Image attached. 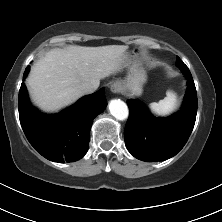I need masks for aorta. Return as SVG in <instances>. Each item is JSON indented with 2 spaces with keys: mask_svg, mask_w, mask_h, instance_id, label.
<instances>
[{
  "mask_svg": "<svg viewBox=\"0 0 222 222\" xmlns=\"http://www.w3.org/2000/svg\"><path fill=\"white\" fill-rule=\"evenodd\" d=\"M109 111L117 120H125L128 118L129 110L122 100L114 99L109 103Z\"/></svg>",
  "mask_w": 222,
  "mask_h": 222,
  "instance_id": "aorta-1",
  "label": "aorta"
}]
</instances>
